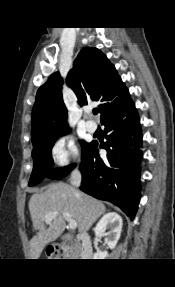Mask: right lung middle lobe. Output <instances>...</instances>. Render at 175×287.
I'll list each match as a JSON object with an SVG mask.
<instances>
[{"label":"right lung middle lobe","mask_w":175,"mask_h":287,"mask_svg":"<svg viewBox=\"0 0 175 287\" xmlns=\"http://www.w3.org/2000/svg\"><path fill=\"white\" fill-rule=\"evenodd\" d=\"M67 132L68 130H65L33 143L32 156L34 160V168L30 178L29 186L38 184L45 177L51 179H60L65 175H67L73 168H75L76 166L75 164H71L67 167L58 170H52L51 168L50 163L51 149L56 139L60 135L66 134ZM90 144L91 143L81 142L82 160Z\"/></svg>","instance_id":"1"}]
</instances>
